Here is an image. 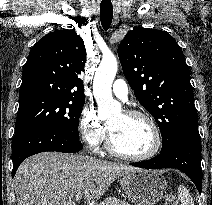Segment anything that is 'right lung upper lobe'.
Returning <instances> with one entry per match:
<instances>
[{
    "mask_svg": "<svg viewBox=\"0 0 212 205\" xmlns=\"http://www.w3.org/2000/svg\"><path fill=\"white\" fill-rule=\"evenodd\" d=\"M86 50L73 30L48 33L30 50L23 68L19 99L53 96L85 100L83 81Z\"/></svg>",
    "mask_w": 212,
    "mask_h": 205,
    "instance_id": "cb5924a9",
    "label": "right lung upper lobe"
}]
</instances>
